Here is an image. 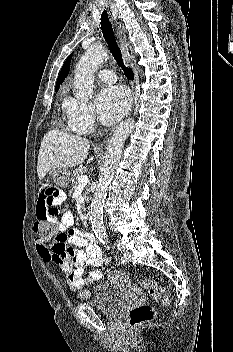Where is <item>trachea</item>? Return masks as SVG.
Listing matches in <instances>:
<instances>
[{"mask_svg":"<svg viewBox=\"0 0 233 352\" xmlns=\"http://www.w3.org/2000/svg\"><path fill=\"white\" fill-rule=\"evenodd\" d=\"M101 30L103 33V37H104L106 43L108 44V47H109L114 59L116 60L117 64L122 68L124 75L126 76V78L128 80H133L134 73L130 68H128L124 65L121 50L116 43L112 24L109 21L108 13L106 10H104L101 15Z\"/></svg>","mask_w":233,"mask_h":352,"instance_id":"1","label":"trachea"}]
</instances>
